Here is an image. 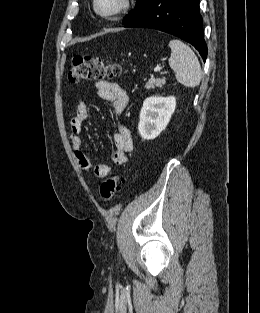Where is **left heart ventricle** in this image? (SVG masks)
<instances>
[{
  "instance_id": "obj_1",
  "label": "left heart ventricle",
  "mask_w": 260,
  "mask_h": 313,
  "mask_svg": "<svg viewBox=\"0 0 260 313\" xmlns=\"http://www.w3.org/2000/svg\"><path fill=\"white\" fill-rule=\"evenodd\" d=\"M120 0H98V8L102 12H108L114 10Z\"/></svg>"
}]
</instances>
